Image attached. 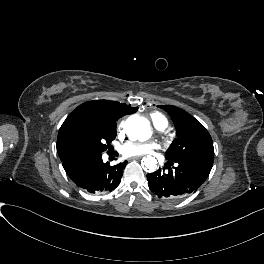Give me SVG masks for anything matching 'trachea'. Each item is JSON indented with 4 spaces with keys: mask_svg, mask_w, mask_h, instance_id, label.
<instances>
[{
    "mask_svg": "<svg viewBox=\"0 0 264 264\" xmlns=\"http://www.w3.org/2000/svg\"><path fill=\"white\" fill-rule=\"evenodd\" d=\"M113 154H114L115 156H117V153H116V152H114Z\"/></svg>",
    "mask_w": 264,
    "mask_h": 264,
    "instance_id": "3493384b",
    "label": "trachea"
}]
</instances>
